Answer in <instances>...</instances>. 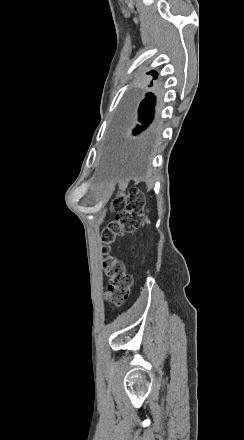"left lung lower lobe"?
<instances>
[{"instance_id": "left-lung-lower-lobe-1", "label": "left lung lower lobe", "mask_w": 244, "mask_h": 440, "mask_svg": "<svg viewBox=\"0 0 244 440\" xmlns=\"http://www.w3.org/2000/svg\"><path fill=\"white\" fill-rule=\"evenodd\" d=\"M152 84L149 85V87ZM154 95L151 93H147L145 99L140 103L139 109H138V121L142 123L144 126H148L152 119L154 114ZM144 129L143 126L137 125V129L133 131L134 134H137L139 131H142Z\"/></svg>"}]
</instances>
